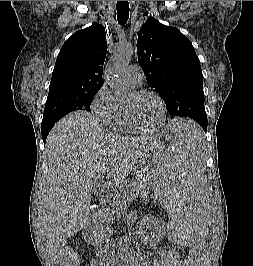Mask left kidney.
Here are the masks:
<instances>
[{"label": "left kidney", "mask_w": 253, "mask_h": 266, "mask_svg": "<svg viewBox=\"0 0 253 266\" xmlns=\"http://www.w3.org/2000/svg\"><path fill=\"white\" fill-rule=\"evenodd\" d=\"M137 234L144 245L154 247L165 237L166 228L160 218L146 215L138 222Z\"/></svg>", "instance_id": "left-kidney-1"}]
</instances>
